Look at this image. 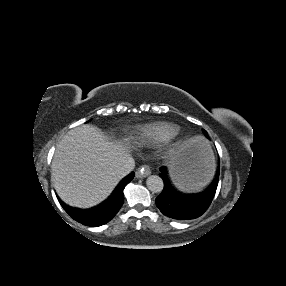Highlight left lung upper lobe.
<instances>
[{
	"mask_svg": "<svg viewBox=\"0 0 286 286\" xmlns=\"http://www.w3.org/2000/svg\"><path fill=\"white\" fill-rule=\"evenodd\" d=\"M204 134H205V136L207 137V138H209V136H208V134H207V132L204 130Z\"/></svg>",
	"mask_w": 286,
	"mask_h": 286,
	"instance_id": "5c2ea615",
	"label": "left lung upper lobe"
}]
</instances>
